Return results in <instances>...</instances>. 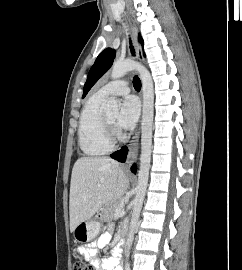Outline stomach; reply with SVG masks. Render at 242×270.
<instances>
[{
  "mask_svg": "<svg viewBox=\"0 0 242 270\" xmlns=\"http://www.w3.org/2000/svg\"><path fill=\"white\" fill-rule=\"evenodd\" d=\"M100 225V221L96 218L81 222L73 231L74 241L79 243L92 241L99 234Z\"/></svg>",
  "mask_w": 242,
  "mask_h": 270,
  "instance_id": "stomach-1",
  "label": "stomach"
}]
</instances>
